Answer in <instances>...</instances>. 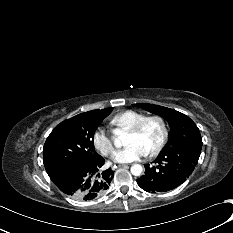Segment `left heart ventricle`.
<instances>
[{"instance_id": "obj_1", "label": "left heart ventricle", "mask_w": 233, "mask_h": 233, "mask_svg": "<svg viewBox=\"0 0 233 233\" xmlns=\"http://www.w3.org/2000/svg\"><path fill=\"white\" fill-rule=\"evenodd\" d=\"M161 136V128L158 122H148L143 130L138 134L129 133L126 136V145L136 143L141 146L146 153L154 148Z\"/></svg>"}]
</instances>
